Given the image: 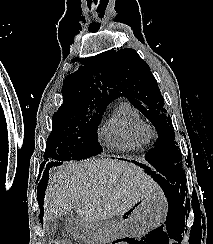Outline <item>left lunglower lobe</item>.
Segmentation results:
<instances>
[{
    "instance_id": "obj_1",
    "label": "left lung lower lobe",
    "mask_w": 213,
    "mask_h": 244,
    "mask_svg": "<svg viewBox=\"0 0 213 244\" xmlns=\"http://www.w3.org/2000/svg\"><path fill=\"white\" fill-rule=\"evenodd\" d=\"M150 164L152 166H154L156 168V170L158 171V173L156 172H152V174L156 177L157 181L161 184H168L173 186L172 184L169 183V180L167 179V177L164 175V170L163 168H161L159 165L155 164L154 162H150ZM142 167H146L147 169L151 170V168L147 167L146 165L141 164Z\"/></svg>"
}]
</instances>
